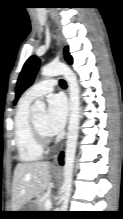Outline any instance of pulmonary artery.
I'll return each mask as SVG.
<instances>
[{"label": "pulmonary artery", "mask_w": 123, "mask_h": 219, "mask_svg": "<svg viewBox=\"0 0 123 219\" xmlns=\"http://www.w3.org/2000/svg\"><path fill=\"white\" fill-rule=\"evenodd\" d=\"M56 86V81L54 79H45L42 80L32 87H30L25 94L23 95V98L27 101H33L39 97H42L44 95H47L51 93L54 90V87Z\"/></svg>", "instance_id": "e3ab8cb5"}]
</instances>
